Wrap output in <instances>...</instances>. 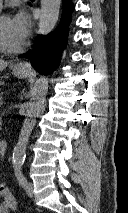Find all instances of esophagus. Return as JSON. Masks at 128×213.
<instances>
[{
	"label": "esophagus",
	"mask_w": 128,
	"mask_h": 213,
	"mask_svg": "<svg viewBox=\"0 0 128 213\" xmlns=\"http://www.w3.org/2000/svg\"><path fill=\"white\" fill-rule=\"evenodd\" d=\"M16 67H17L18 69H26V68H27V65L22 64V63H19V64L16 65Z\"/></svg>",
	"instance_id": "1"
}]
</instances>
